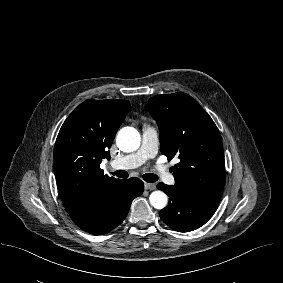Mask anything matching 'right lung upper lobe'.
Listing matches in <instances>:
<instances>
[{
    "label": "right lung upper lobe",
    "mask_w": 283,
    "mask_h": 283,
    "mask_svg": "<svg viewBox=\"0 0 283 283\" xmlns=\"http://www.w3.org/2000/svg\"><path fill=\"white\" fill-rule=\"evenodd\" d=\"M130 108L127 100H86L68 116L56 139L54 165L62 201L78 221L121 180L104 175L114 136Z\"/></svg>",
    "instance_id": "right-lung-upper-lobe-1"
}]
</instances>
